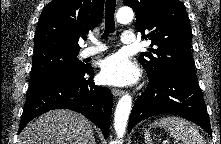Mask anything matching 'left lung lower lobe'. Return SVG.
Returning <instances> with one entry per match:
<instances>
[{
  "instance_id": "1",
  "label": "left lung lower lobe",
  "mask_w": 221,
  "mask_h": 144,
  "mask_svg": "<svg viewBox=\"0 0 221 144\" xmlns=\"http://www.w3.org/2000/svg\"><path fill=\"white\" fill-rule=\"evenodd\" d=\"M149 84L134 104L128 124L130 132L148 117L172 113L193 121L212 136L206 104L197 77L179 72H148Z\"/></svg>"
}]
</instances>
